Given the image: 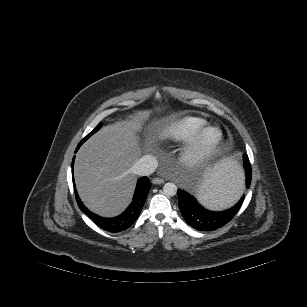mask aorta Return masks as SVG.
<instances>
[{
    "label": "aorta",
    "instance_id": "obj_1",
    "mask_svg": "<svg viewBox=\"0 0 307 307\" xmlns=\"http://www.w3.org/2000/svg\"><path fill=\"white\" fill-rule=\"evenodd\" d=\"M163 192L166 196H174L177 193V186L171 182L165 183Z\"/></svg>",
    "mask_w": 307,
    "mask_h": 307
}]
</instances>
